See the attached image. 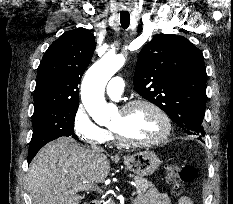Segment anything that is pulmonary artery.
I'll list each match as a JSON object with an SVG mask.
<instances>
[{"label": "pulmonary artery", "mask_w": 233, "mask_h": 204, "mask_svg": "<svg viewBox=\"0 0 233 204\" xmlns=\"http://www.w3.org/2000/svg\"><path fill=\"white\" fill-rule=\"evenodd\" d=\"M124 91V81L116 76L110 79L106 86V93L113 99H119Z\"/></svg>", "instance_id": "obj_1"}]
</instances>
